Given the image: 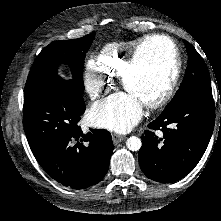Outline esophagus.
Segmentation results:
<instances>
[{"instance_id":"obj_1","label":"esophagus","mask_w":221,"mask_h":221,"mask_svg":"<svg viewBox=\"0 0 221 221\" xmlns=\"http://www.w3.org/2000/svg\"><path fill=\"white\" fill-rule=\"evenodd\" d=\"M125 139L124 136L113 133L112 134V140H113V144L116 146L118 145L120 142H122Z\"/></svg>"}]
</instances>
